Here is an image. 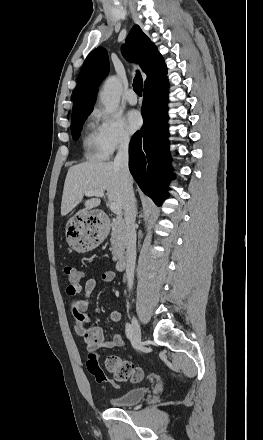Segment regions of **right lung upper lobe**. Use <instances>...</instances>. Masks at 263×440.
Segmentation results:
<instances>
[{
    "label": "right lung upper lobe",
    "instance_id": "1",
    "mask_svg": "<svg viewBox=\"0 0 263 440\" xmlns=\"http://www.w3.org/2000/svg\"><path fill=\"white\" fill-rule=\"evenodd\" d=\"M122 53L128 60L137 59L142 71L147 75L144 87L161 79L167 73L165 62L157 47L138 25L131 29L126 44L122 46ZM108 72L107 51L103 47H98L87 56L79 73L73 95L72 117L93 110L97 86Z\"/></svg>",
    "mask_w": 263,
    "mask_h": 440
}]
</instances>
